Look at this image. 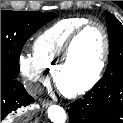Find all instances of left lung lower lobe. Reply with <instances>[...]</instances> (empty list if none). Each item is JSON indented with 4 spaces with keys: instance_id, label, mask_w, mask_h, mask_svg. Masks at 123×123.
Returning a JSON list of instances; mask_svg holds the SVG:
<instances>
[{
    "instance_id": "obj_1",
    "label": "left lung lower lobe",
    "mask_w": 123,
    "mask_h": 123,
    "mask_svg": "<svg viewBox=\"0 0 123 123\" xmlns=\"http://www.w3.org/2000/svg\"><path fill=\"white\" fill-rule=\"evenodd\" d=\"M68 113L70 123H123V78L108 86L97 82Z\"/></svg>"
}]
</instances>
